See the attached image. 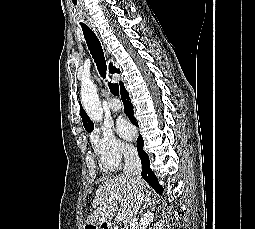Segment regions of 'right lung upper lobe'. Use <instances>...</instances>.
<instances>
[{"label": "right lung upper lobe", "instance_id": "obj_1", "mask_svg": "<svg viewBox=\"0 0 255 229\" xmlns=\"http://www.w3.org/2000/svg\"><path fill=\"white\" fill-rule=\"evenodd\" d=\"M110 72L111 73H120L119 69H116L113 67V65L110 64ZM120 88H122L124 85L122 82L119 83ZM81 106V105H80ZM80 115L82 117L83 126L87 132H91L94 128L93 122L88 118V115L86 114L85 110L83 108L80 109Z\"/></svg>", "mask_w": 255, "mask_h": 229}]
</instances>
